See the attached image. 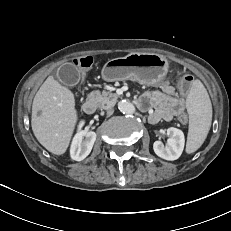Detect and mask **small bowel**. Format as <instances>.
Returning <instances> with one entry per match:
<instances>
[{
	"label": "small bowel",
	"mask_w": 231,
	"mask_h": 231,
	"mask_svg": "<svg viewBox=\"0 0 231 231\" xmlns=\"http://www.w3.org/2000/svg\"><path fill=\"white\" fill-rule=\"evenodd\" d=\"M143 110H149V122L171 121L181 117L185 111V100L174 96V89L169 83H164L160 90L144 93L139 99Z\"/></svg>",
	"instance_id": "small-bowel-1"
}]
</instances>
